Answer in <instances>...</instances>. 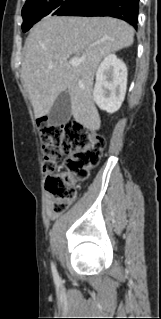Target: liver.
Listing matches in <instances>:
<instances>
[{
    "label": "liver",
    "instance_id": "6515ba94",
    "mask_svg": "<svg viewBox=\"0 0 161 319\" xmlns=\"http://www.w3.org/2000/svg\"><path fill=\"white\" fill-rule=\"evenodd\" d=\"M134 29L111 17H48L30 31L24 47L21 77L36 118L47 115L60 93L67 91L76 122L100 129L92 90L102 58L133 44ZM74 55L82 62L73 67Z\"/></svg>",
    "mask_w": 161,
    "mask_h": 319
}]
</instances>
